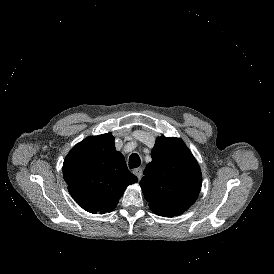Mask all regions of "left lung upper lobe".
<instances>
[{
    "label": "left lung upper lobe",
    "instance_id": "1",
    "mask_svg": "<svg viewBox=\"0 0 274 274\" xmlns=\"http://www.w3.org/2000/svg\"><path fill=\"white\" fill-rule=\"evenodd\" d=\"M152 161L140 186L150 209L158 215L181 214L195 203L202 185L200 167L179 138H157Z\"/></svg>",
    "mask_w": 274,
    "mask_h": 274
}]
</instances>
